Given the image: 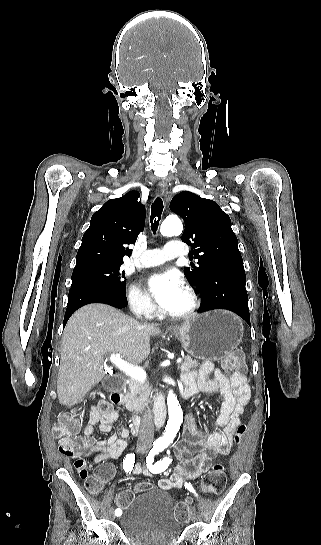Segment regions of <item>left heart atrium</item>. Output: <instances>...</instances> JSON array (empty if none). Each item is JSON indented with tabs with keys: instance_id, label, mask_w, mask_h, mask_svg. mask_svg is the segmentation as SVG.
Masks as SVG:
<instances>
[{
	"instance_id": "1",
	"label": "left heart atrium",
	"mask_w": 321,
	"mask_h": 545,
	"mask_svg": "<svg viewBox=\"0 0 321 545\" xmlns=\"http://www.w3.org/2000/svg\"><path fill=\"white\" fill-rule=\"evenodd\" d=\"M147 286L158 308L169 312L183 288V280L178 272L168 270L152 274L147 280Z\"/></svg>"
}]
</instances>
